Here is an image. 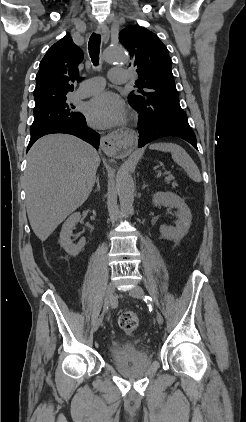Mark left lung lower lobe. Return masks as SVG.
Listing matches in <instances>:
<instances>
[{
	"label": "left lung lower lobe",
	"instance_id": "0a47b994",
	"mask_svg": "<svg viewBox=\"0 0 246 422\" xmlns=\"http://www.w3.org/2000/svg\"><path fill=\"white\" fill-rule=\"evenodd\" d=\"M138 147L166 136L179 137L193 145L197 150L196 136L187 119H161L154 123L145 121L139 115Z\"/></svg>",
	"mask_w": 246,
	"mask_h": 422
}]
</instances>
